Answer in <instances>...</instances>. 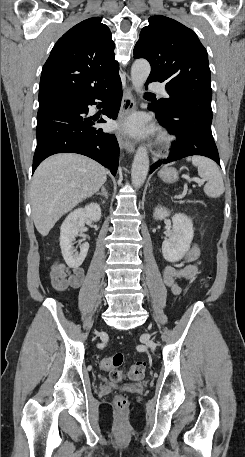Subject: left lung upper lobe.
Returning a JSON list of instances; mask_svg holds the SVG:
<instances>
[{
  "label": "left lung upper lobe",
  "instance_id": "left-lung-upper-lobe-1",
  "mask_svg": "<svg viewBox=\"0 0 245 457\" xmlns=\"http://www.w3.org/2000/svg\"><path fill=\"white\" fill-rule=\"evenodd\" d=\"M133 54L150 62L152 70L147 80L165 84L169 98L157 102L163 111H212L207 52L191 29L166 16H151Z\"/></svg>",
  "mask_w": 245,
  "mask_h": 457
}]
</instances>
